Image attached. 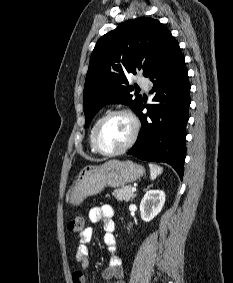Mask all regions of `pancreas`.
Returning a JSON list of instances; mask_svg holds the SVG:
<instances>
[{"label":"pancreas","mask_w":233,"mask_h":283,"mask_svg":"<svg viewBox=\"0 0 233 283\" xmlns=\"http://www.w3.org/2000/svg\"><path fill=\"white\" fill-rule=\"evenodd\" d=\"M131 186H123L122 188L115 189L112 193L118 201H129L134 198L135 193L132 192Z\"/></svg>","instance_id":"cf45deb5"}]
</instances>
